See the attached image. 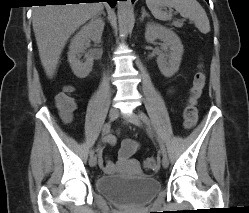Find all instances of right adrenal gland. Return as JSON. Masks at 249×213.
Wrapping results in <instances>:
<instances>
[{
    "label": "right adrenal gland",
    "instance_id": "obj_1",
    "mask_svg": "<svg viewBox=\"0 0 249 213\" xmlns=\"http://www.w3.org/2000/svg\"><path fill=\"white\" fill-rule=\"evenodd\" d=\"M101 14H103V16H106L104 9H102V10H101V12H100V13H98V15H97V16H100Z\"/></svg>",
    "mask_w": 249,
    "mask_h": 213
}]
</instances>
